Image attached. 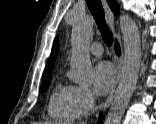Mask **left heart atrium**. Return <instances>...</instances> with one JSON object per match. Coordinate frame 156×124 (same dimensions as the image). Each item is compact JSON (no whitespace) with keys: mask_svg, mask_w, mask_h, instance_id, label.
<instances>
[{"mask_svg":"<svg viewBox=\"0 0 156 124\" xmlns=\"http://www.w3.org/2000/svg\"><path fill=\"white\" fill-rule=\"evenodd\" d=\"M93 78L95 91L100 95H104L113 87L116 72L112 64L102 61L94 67Z\"/></svg>","mask_w":156,"mask_h":124,"instance_id":"obj_1","label":"left heart atrium"}]
</instances>
